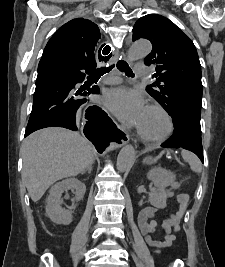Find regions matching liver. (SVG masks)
Returning <instances> with one entry per match:
<instances>
[{
  "label": "liver",
  "mask_w": 225,
  "mask_h": 267,
  "mask_svg": "<svg viewBox=\"0 0 225 267\" xmlns=\"http://www.w3.org/2000/svg\"><path fill=\"white\" fill-rule=\"evenodd\" d=\"M22 179L33 202L56 181L83 173L93 163L87 139L63 128H45L29 135L22 145Z\"/></svg>",
  "instance_id": "6515ba94"
}]
</instances>
